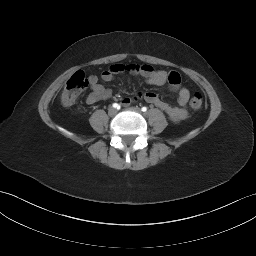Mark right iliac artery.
Returning <instances> with one entry per match:
<instances>
[{
    "mask_svg": "<svg viewBox=\"0 0 256 256\" xmlns=\"http://www.w3.org/2000/svg\"><path fill=\"white\" fill-rule=\"evenodd\" d=\"M112 106H113L114 108L120 109V105L117 104V103H114Z\"/></svg>",
    "mask_w": 256,
    "mask_h": 256,
    "instance_id": "1",
    "label": "right iliac artery"
}]
</instances>
